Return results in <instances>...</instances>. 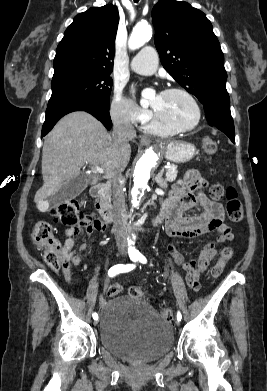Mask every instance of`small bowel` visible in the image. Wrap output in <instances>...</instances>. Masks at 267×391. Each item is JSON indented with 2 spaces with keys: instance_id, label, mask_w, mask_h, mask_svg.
<instances>
[{
  "instance_id": "obj_1",
  "label": "small bowel",
  "mask_w": 267,
  "mask_h": 391,
  "mask_svg": "<svg viewBox=\"0 0 267 391\" xmlns=\"http://www.w3.org/2000/svg\"><path fill=\"white\" fill-rule=\"evenodd\" d=\"M208 186L196 170L188 171L183 180L175 184L169 199L163 207V216L166 221L167 234L173 238H194L210 232H218L217 243L222 244L234 238L232 228L224 223V209L221 203L210 199L204 189ZM197 208L195 216L184 217L185 211ZM85 228L88 234L94 231H105L106 225L98 219L86 221L65 231V240L60 247L63 257V274L69 280L72 270L81 262V254L87 249V244H80L75 249V236ZM170 254L183 271L186 272V281L190 289L198 291L200 276L216 257L215 243L205 244L196 259L185 261L175 244L170 245Z\"/></svg>"
}]
</instances>
